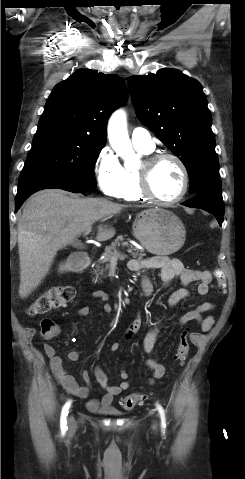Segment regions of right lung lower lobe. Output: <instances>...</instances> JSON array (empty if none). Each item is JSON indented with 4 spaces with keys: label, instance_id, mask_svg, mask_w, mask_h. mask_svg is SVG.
Returning <instances> with one entry per match:
<instances>
[{
    "label": "right lung lower lobe",
    "instance_id": "98d812e1",
    "mask_svg": "<svg viewBox=\"0 0 245 479\" xmlns=\"http://www.w3.org/2000/svg\"><path fill=\"white\" fill-rule=\"evenodd\" d=\"M47 188H59L73 193H83L92 189L88 186L55 177H41L27 180L18 186L15 211H18L19 207L31 194Z\"/></svg>",
    "mask_w": 245,
    "mask_h": 479
}]
</instances>
